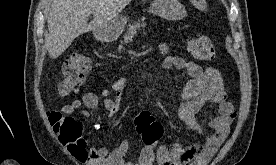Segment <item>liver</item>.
Returning a JSON list of instances; mask_svg holds the SVG:
<instances>
[{
    "instance_id": "1",
    "label": "liver",
    "mask_w": 276,
    "mask_h": 165,
    "mask_svg": "<svg viewBox=\"0 0 276 165\" xmlns=\"http://www.w3.org/2000/svg\"><path fill=\"white\" fill-rule=\"evenodd\" d=\"M132 0H53L45 46L50 58L60 56L75 38L116 18ZM93 20L88 24L89 15Z\"/></svg>"
}]
</instances>
